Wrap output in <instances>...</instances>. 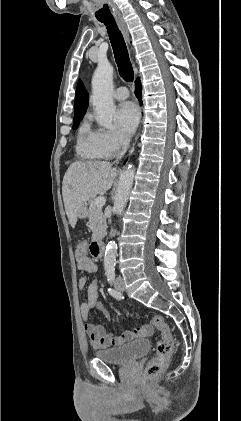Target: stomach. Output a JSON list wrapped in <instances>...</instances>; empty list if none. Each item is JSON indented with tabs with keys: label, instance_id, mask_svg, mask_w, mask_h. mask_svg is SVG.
<instances>
[{
	"label": "stomach",
	"instance_id": "obj_1",
	"mask_svg": "<svg viewBox=\"0 0 241 421\" xmlns=\"http://www.w3.org/2000/svg\"><path fill=\"white\" fill-rule=\"evenodd\" d=\"M87 216H88V209H87L86 204H83L78 210L77 218L85 219L87 218Z\"/></svg>",
	"mask_w": 241,
	"mask_h": 421
}]
</instances>
